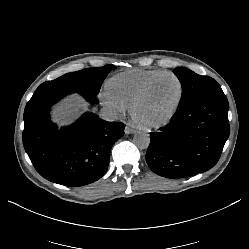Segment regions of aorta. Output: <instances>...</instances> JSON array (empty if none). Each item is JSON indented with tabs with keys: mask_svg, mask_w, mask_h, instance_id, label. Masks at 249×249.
<instances>
[{
	"mask_svg": "<svg viewBox=\"0 0 249 249\" xmlns=\"http://www.w3.org/2000/svg\"><path fill=\"white\" fill-rule=\"evenodd\" d=\"M133 143L140 149H146L150 143V137L147 133L137 131L133 136Z\"/></svg>",
	"mask_w": 249,
	"mask_h": 249,
	"instance_id": "1",
	"label": "aorta"
}]
</instances>
